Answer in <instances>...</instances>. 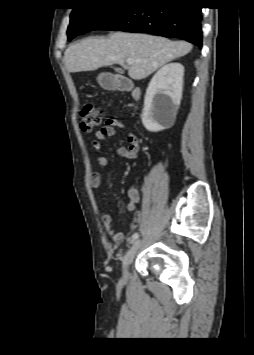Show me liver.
Here are the masks:
<instances>
[{
  "instance_id": "liver-1",
  "label": "liver",
  "mask_w": 254,
  "mask_h": 355,
  "mask_svg": "<svg viewBox=\"0 0 254 355\" xmlns=\"http://www.w3.org/2000/svg\"><path fill=\"white\" fill-rule=\"evenodd\" d=\"M192 48L193 45L185 41L115 32L107 38L88 37L70 45L64 53V64L71 73L119 64L128 70L132 79L141 80L169 61L188 54ZM128 58L134 63L126 64Z\"/></svg>"
}]
</instances>
